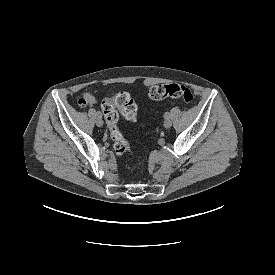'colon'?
<instances>
[{
	"mask_svg": "<svg viewBox=\"0 0 275 275\" xmlns=\"http://www.w3.org/2000/svg\"><path fill=\"white\" fill-rule=\"evenodd\" d=\"M149 97L153 100H162L165 98H182L186 103H192V91L179 83H166L154 85L149 90ZM104 118L107 122L110 138L113 142L114 151L117 155L129 154L137 159L140 153L133 152L130 149L128 141L119 131L117 122L120 111L124 118L131 122L138 119V108L136 103L131 99L130 95L125 92H119L113 100H104L101 104Z\"/></svg>",
	"mask_w": 275,
	"mask_h": 275,
	"instance_id": "5ec220e1",
	"label": "colon"
}]
</instances>
